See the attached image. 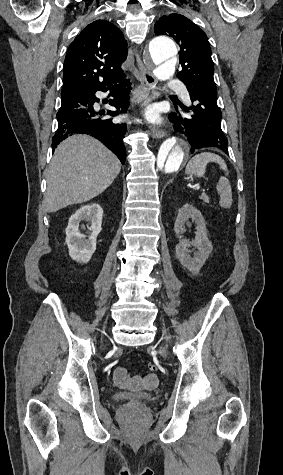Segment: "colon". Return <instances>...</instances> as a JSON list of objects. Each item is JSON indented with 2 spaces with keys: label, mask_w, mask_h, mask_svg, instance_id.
Listing matches in <instances>:
<instances>
[{
  "label": "colon",
  "mask_w": 283,
  "mask_h": 475,
  "mask_svg": "<svg viewBox=\"0 0 283 475\" xmlns=\"http://www.w3.org/2000/svg\"><path fill=\"white\" fill-rule=\"evenodd\" d=\"M148 369H149V371H151V372L156 371V370L158 369V363H157L156 361H151V362H149V364H148Z\"/></svg>",
  "instance_id": "5ec220e1"
}]
</instances>
